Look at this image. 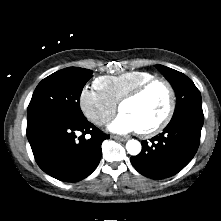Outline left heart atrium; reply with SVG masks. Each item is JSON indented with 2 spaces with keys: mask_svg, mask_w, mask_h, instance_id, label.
Masks as SVG:
<instances>
[{
  "mask_svg": "<svg viewBox=\"0 0 221 221\" xmlns=\"http://www.w3.org/2000/svg\"><path fill=\"white\" fill-rule=\"evenodd\" d=\"M109 130L119 134H127L139 131V127L135 119L129 114L121 112L115 120L109 125Z\"/></svg>",
  "mask_w": 221,
  "mask_h": 221,
  "instance_id": "obj_1",
  "label": "left heart atrium"
}]
</instances>
